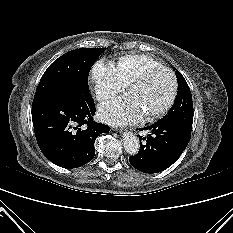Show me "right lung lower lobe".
Listing matches in <instances>:
<instances>
[{"label":"right lung lower lobe","instance_id":"obj_1","mask_svg":"<svg viewBox=\"0 0 233 233\" xmlns=\"http://www.w3.org/2000/svg\"><path fill=\"white\" fill-rule=\"evenodd\" d=\"M91 94L46 99L32 105V120L38 146L54 164L77 168L95 155L94 142L107 125L93 121Z\"/></svg>","mask_w":233,"mask_h":233}]
</instances>
